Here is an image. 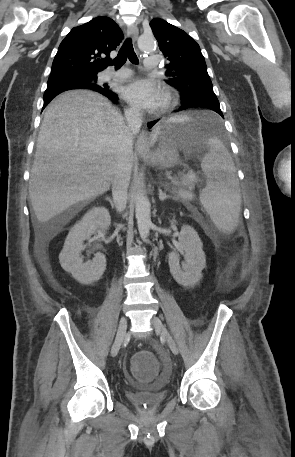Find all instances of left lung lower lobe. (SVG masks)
I'll return each mask as SVG.
<instances>
[{"label": "left lung lower lobe", "mask_w": 295, "mask_h": 457, "mask_svg": "<svg viewBox=\"0 0 295 457\" xmlns=\"http://www.w3.org/2000/svg\"><path fill=\"white\" fill-rule=\"evenodd\" d=\"M191 107H205L217 112L220 116L223 117L222 111L220 110L219 101L215 97L206 96L204 98L193 99L187 103H184L182 109ZM157 121L158 120L150 122L148 126L152 127Z\"/></svg>", "instance_id": "1"}]
</instances>
